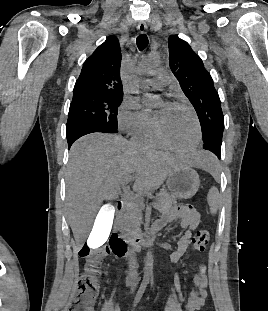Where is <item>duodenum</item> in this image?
<instances>
[{"mask_svg": "<svg viewBox=\"0 0 268 311\" xmlns=\"http://www.w3.org/2000/svg\"><path fill=\"white\" fill-rule=\"evenodd\" d=\"M118 210L122 208V203L117 204ZM155 233H143L132 238H124L117 231H114L108 241L109 248L115 255L121 257L128 255L132 251L150 246L154 242Z\"/></svg>", "mask_w": 268, "mask_h": 311, "instance_id": "duodenum-1", "label": "duodenum"}]
</instances>
